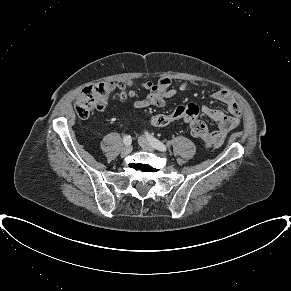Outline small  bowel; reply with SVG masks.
<instances>
[{"instance_id":"1","label":"small bowel","mask_w":291,"mask_h":291,"mask_svg":"<svg viewBox=\"0 0 291 291\" xmlns=\"http://www.w3.org/2000/svg\"><path fill=\"white\" fill-rule=\"evenodd\" d=\"M140 85L149 90V94L144 99H135L133 101V106L138 109H143L148 107H164L168 99L174 97L178 90H186L189 83L182 82L178 89H175L172 88L169 78H161L157 83L148 81ZM212 97L226 106L228 114L206 105L201 107V111L204 115L217 123V129L212 133L218 143H221L227 134L240 124L241 110L234 98L227 91H216L212 94Z\"/></svg>"}]
</instances>
